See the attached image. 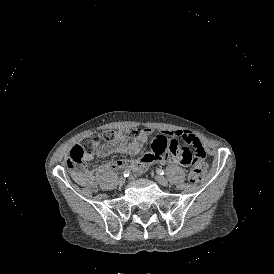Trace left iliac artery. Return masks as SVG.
<instances>
[{
	"label": "left iliac artery",
	"mask_w": 274,
	"mask_h": 274,
	"mask_svg": "<svg viewBox=\"0 0 274 274\" xmlns=\"http://www.w3.org/2000/svg\"><path fill=\"white\" fill-rule=\"evenodd\" d=\"M157 173H158L159 175H164V170L158 169V170H157Z\"/></svg>",
	"instance_id": "1"
}]
</instances>
